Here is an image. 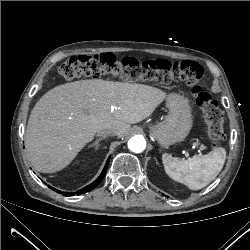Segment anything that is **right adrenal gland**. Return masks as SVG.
<instances>
[{
    "instance_id": "2a0ac1e0",
    "label": "right adrenal gland",
    "mask_w": 250,
    "mask_h": 250,
    "mask_svg": "<svg viewBox=\"0 0 250 250\" xmlns=\"http://www.w3.org/2000/svg\"><path fill=\"white\" fill-rule=\"evenodd\" d=\"M104 139H106V137L105 136H102V137H99L98 139H96L93 143H91L90 145H89V147H94V149L95 150H97L98 148H99V142L101 141V140H104Z\"/></svg>"
}]
</instances>
